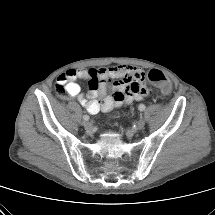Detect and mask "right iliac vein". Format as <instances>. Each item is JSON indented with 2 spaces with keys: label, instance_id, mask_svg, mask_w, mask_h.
Returning a JSON list of instances; mask_svg holds the SVG:
<instances>
[{
  "label": "right iliac vein",
  "instance_id": "obj_1",
  "mask_svg": "<svg viewBox=\"0 0 215 215\" xmlns=\"http://www.w3.org/2000/svg\"><path fill=\"white\" fill-rule=\"evenodd\" d=\"M83 125H84V128H85L87 131H91L92 128H93L92 124H91L90 122H88V121H85V122L83 123Z\"/></svg>",
  "mask_w": 215,
  "mask_h": 215
}]
</instances>
